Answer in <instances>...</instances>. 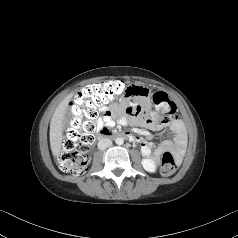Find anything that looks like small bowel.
<instances>
[{
  "label": "small bowel",
  "mask_w": 238,
  "mask_h": 238,
  "mask_svg": "<svg viewBox=\"0 0 238 238\" xmlns=\"http://www.w3.org/2000/svg\"><path fill=\"white\" fill-rule=\"evenodd\" d=\"M131 94L122 103L121 107H101V116L95 120L97 130L108 129L118 123L120 125H132L143 127L151 131H160L169 126L174 133L172 140L161 142L154 151V159L157 160L165 152H174L176 156L181 157L186 146V130L183 122L175 117L168 123L157 122L151 119L152 111L148 108L149 93L146 88L134 86L130 88ZM118 109L124 110V114L116 117ZM138 137V136H137ZM141 143V152L145 157H149L152 153L153 144L149 140L138 137Z\"/></svg>",
  "instance_id": "small-bowel-1"
}]
</instances>
